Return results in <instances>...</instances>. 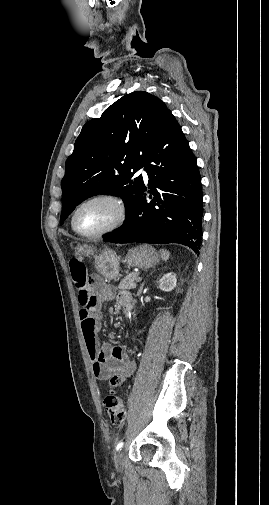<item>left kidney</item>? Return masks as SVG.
<instances>
[{
    "label": "left kidney",
    "mask_w": 269,
    "mask_h": 505,
    "mask_svg": "<svg viewBox=\"0 0 269 505\" xmlns=\"http://www.w3.org/2000/svg\"><path fill=\"white\" fill-rule=\"evenodd\" d=\"M177 285L176 274L170 272L162 276V278L158 282V287L162 291H171Z\"/></svg>",
    "instance_id": "1"
}]
</instances>
